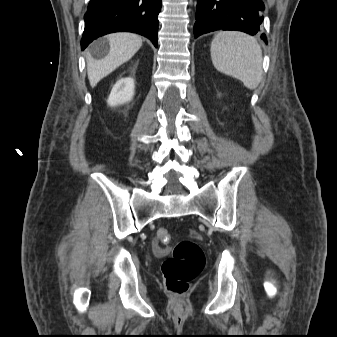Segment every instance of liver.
Masks as SVG:
<instances>
[{
	"label": "liver",
	"mask_w": 337,
	"mask_h": 337,
	"mask_svg": "<svg viewBox=\"0 0 337 337\" xmlns=\"http://www.w3.org/2000/svg\"><path fill=\"white\" fill-rule=\"evenodd\" d=\"M106 39L109 42V52L103 59L96 60L87 54V74L91 87H95L101 79L131 59L142 46L141 37L134 33H112Z\"/></svg>",
	"instance_id": "6515ba94"
}]
</instances>
